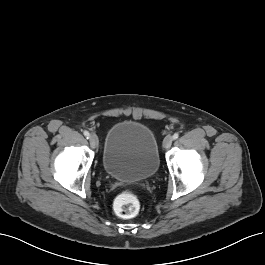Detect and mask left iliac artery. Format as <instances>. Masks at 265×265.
<instances>
[{
  "instance_id": "obj_1",
  "label": "left iliac artery",
  "mask_w": 265,
  "mask_h": 265,
  "mask_svg": "<svg viewBox=\"0 0 265 265\" xmlns=\"http://www.w3.org/2000/svg\"><path fill=\"white\" fill-rule=\"evenodd\" d=\"M179 137L178 133H174V135L172 136L173 140H176Z\"/></svg>"
}]
</instances>
